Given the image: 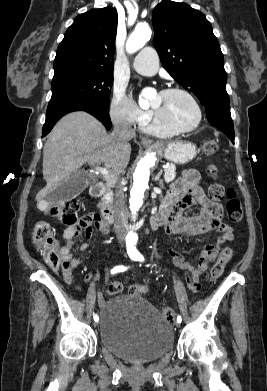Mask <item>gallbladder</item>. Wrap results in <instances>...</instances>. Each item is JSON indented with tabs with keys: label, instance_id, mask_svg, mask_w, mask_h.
<instances>
[{
	"label": "gallbladder",
	"instance_id": "obj_1",
	"mask_svg": "<svg viewBox=\"0 0 267 391\" xmlns=\"http://www.w3.org/2000/svg\"><path fill=\"white\" fill-rule=\"evenodd\" d=\"M87 186L88 181L84 174L72 176L69 180L62 182L60 186L49 195V198L55 203L69 201L80 195Z\"/></svg>",
	"mask_w": 267,
	"mask_h": 391
}]
</instances>
